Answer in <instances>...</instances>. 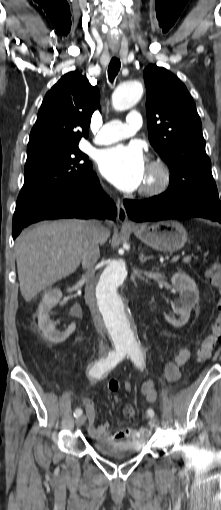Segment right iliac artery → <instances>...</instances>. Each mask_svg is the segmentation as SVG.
Wrapping results in <instances>:
<instances>
[{"mask_svg": "<svg viewBox=\"0 0 221 510\" xmlns=\"http://www.w3.org/2000/svg\"><path fill=\"white\" fill-rule=\"evenodd\" d=\"M125 356L122 351H111L106 358H101L98 361L92 363L89 375L92 378H100L107 372L113 369ZM82 409L77 408L74 412V417H78L82 414Z\"/></svg>", "mask_w": 221, "mask_h": 510, "instance_id": "obj_1", "label": "right iliac artery"}]
</instances>
